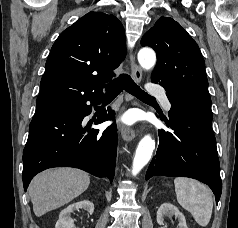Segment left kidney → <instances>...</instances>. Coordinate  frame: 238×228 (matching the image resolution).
Segmentation results:
<instances>
[{"instance_id": "5707ae66", "label": "left kidney", "mask_w": 238, "mask_h": 228, "mask_svg": "<svg viewBox=\"0 0 238 228\" xmlns=\"http://www.w3.org/2000/svg\"><path fill=\"white\" fill-rule=\"evenodd\" d=\"M175 216L178 219L179 228H188L184 215L178 210V208L171 203H163L157 211V223L164 225V218L167 216Z\"/></svg>"}]
</instances>
